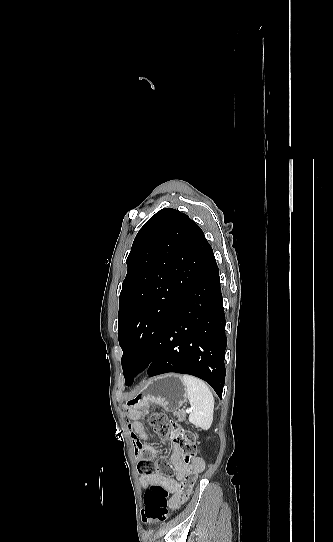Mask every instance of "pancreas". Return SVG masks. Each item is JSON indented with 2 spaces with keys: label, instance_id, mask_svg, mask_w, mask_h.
Instances as JSON below:
<instances>
[{
  "label": "pancreas",
  "instance_id": "obj_1",
  "mask_svg": "<svg viewBox=\"0 0 333 542\" xmlns=\"http://www.w3.org/2000/svg\"><path fill=\"white\" fill-rule=\"evenodd\" d=\"M173 416H177L179 422H186V412L181 410V412H173Z\"/></svg>",
  "mask_w": 333,
  "mask_h": 542
}]
</instances>
